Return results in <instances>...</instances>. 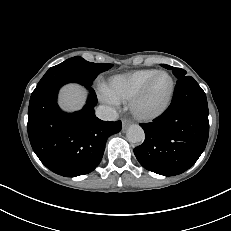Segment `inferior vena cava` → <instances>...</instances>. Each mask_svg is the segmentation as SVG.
I'll return each mask as SVG.
<instances>
[{
	"label": "inferior vena cava",
	"mask_w": 231,
	"mask_h": 231,
	"mask_svg": "<svg viewBox=\"0 0 231 231\" xmlns=\"http://www.w3.org/2000/svg\"><path fill=\"white\" fill-rule=\"evenodd\" d=\"M96 116L104 121H114L117 119L118 114L115 109L109 106L100 105L96 109Z\"/></svg>",
	"instance_id": "obj_1"
}]
</instances>
